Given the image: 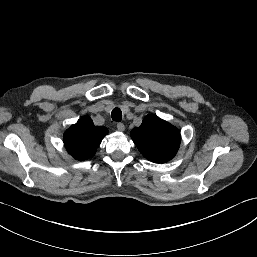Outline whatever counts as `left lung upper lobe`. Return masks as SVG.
<instances>
[{
    "instance_id": "obj_1",
    "label": "left lung upper lobe",
    "mask_w": 257,
    "mask_h": 257,
    "mask_svg": "<svg viewBox=\"0 0 257 257\" xmlns=\"http://www.w3.org/2000/svg\"><path fill=\"white\" fill-rule=\"evenodd\" d=\"M131 137L139 151L155 163L171 160L181 140L179 130L156 115L145 117L142 124L131 131Z\"/></svg>"
}]
</instances>
